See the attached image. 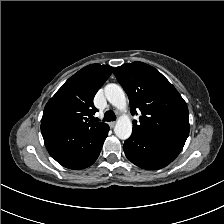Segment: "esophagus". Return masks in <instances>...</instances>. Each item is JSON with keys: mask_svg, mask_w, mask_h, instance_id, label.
<instances>
[{"mask_svg": "<svg viewBox=\"0 0 224 224\" xmlns=\"http://www.w3.org/2000/svg\"><path fill=\"white\" fill-rule=\"evenodd\" d=\"M115 124H116L115 121H111V122H109V126H110V128H113V127L115 126Z\"/></svg>", "mask_w": 224, "mask_h": 224, "instance_id": "esophagus-1", "label": "esophagus"}]
</instances>
